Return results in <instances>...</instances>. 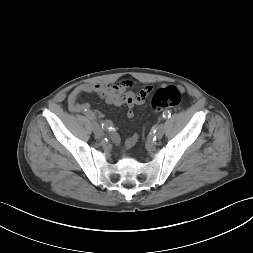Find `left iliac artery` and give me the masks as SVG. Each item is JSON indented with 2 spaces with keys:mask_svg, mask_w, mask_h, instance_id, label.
I'll return each mask as SVG.
<instances>
[{
  "mask_svg": "<svg viewBox=\"0 0 253 253\" xmlns=\"http://www.w3.org/2000/svg\"><path fill=\"white\" fill-rule=\"evenodd\" d=\"M163 118H169L170 116H171V113L169 112V111H165V112H163Z\"/></svg>",
  "mask_w": 253,
  "mask_h": 253,
  "instance_id": "1",
  "label": "left iliac artery"
}]
</instances>
